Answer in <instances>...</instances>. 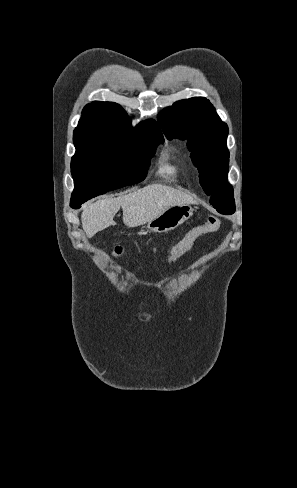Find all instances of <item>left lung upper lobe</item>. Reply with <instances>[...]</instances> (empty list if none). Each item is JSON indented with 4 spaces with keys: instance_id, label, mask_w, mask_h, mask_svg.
I'll list each match as a JSON object with an SVG mask.
<instances>
[{
    "instance_id": "1",
    "label": "left lung upper lobe",
    "mask_w": 297,
    "mask_h": 488,
    "mask_svg": "<svg viewBox=\"0 0 297 488\" xmlns=\"http://www.w3.org/2000/svg\"><path fill=\"white\" fill-rule=\"evenodd\" d=\"M168 139H187L199 181L213 207L222 214L235 212L233 188L228 183V127L204 97L175 102L158 115Z\"/></svg>"
}]
</instances>
